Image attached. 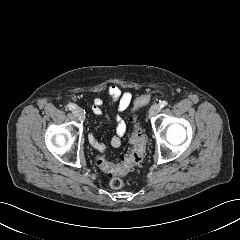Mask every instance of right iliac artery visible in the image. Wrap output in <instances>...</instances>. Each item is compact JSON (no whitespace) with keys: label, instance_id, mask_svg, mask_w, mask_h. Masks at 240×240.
<instances>
[{"label":"right iliac artery","instance_id":"82829eb1","mask_svg":"<svg viewBox=\"0 0 240 240\" xmlns=\"http://www.w3.org/2000/svg\"><path fill=\"white\" fill-rule=\"evenodd\" d=\"M68 108H69V110L74 111L76 109V105L75 104H69Z\"/></svg>","mask_w":240,"mask_h":240}]
</instances>
